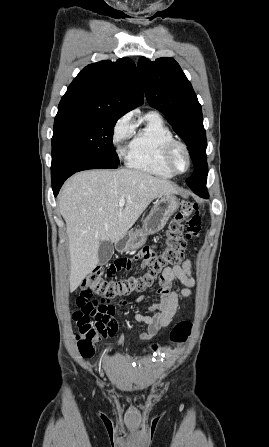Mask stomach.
I'll return each instance as SVG.
<instances>
[{"mask_svg": "<svg viewBox=\"0 0 269 447\" xmlns=\"http://www.w3.org/2000/svg\"><path fill=\"white\" fill-rule=\"evenodd\" d=\"M180 202L176 196H158L155 206H153L150 214L145 218L142 229L128 231L121 245H117L119 251H129V249H137L145 243L149 233H157L167 224L170 216L178 210Z\"/></svg>", "mask_w": 269, "mask_h": 447, "instance_id": "stomach-1", "label": "stomach"}]
</instances>
